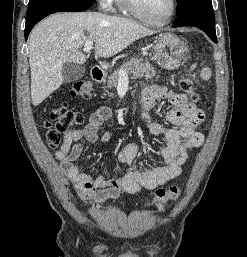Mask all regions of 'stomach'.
<instances>
[{"instance_id": "stomach-1", "label": "stomach", "mask_w": 247, "mask_h": 257, "mask_svg": "<svg viewBox=\"0 0 247 257\" xmlns=\"http://www.w3.org/2000/svg\"><path fill=\"white\" fill-rule=\"evenodd\" d=\"M153 58L159 65L168 70H173L182 64L185 55L184 42L172 33L159 35L154 42Z\"/></svg>"}]
</instances>
